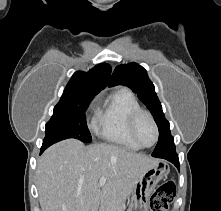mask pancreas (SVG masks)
<instances>
[{"label":"pancreas","instance_id":"1","mask_svg":"<svg viewBox=\"0 0 221 211\" xmlns=\"http://www.w3.org/2000/svg\"><path fill=\"white\" fill-rule=\"evenodd\" d=\"M123 199L110 200L101 206L99 211H124Z\"/></svg>","mask_w":221,"mask_h":211}]
</instances>
